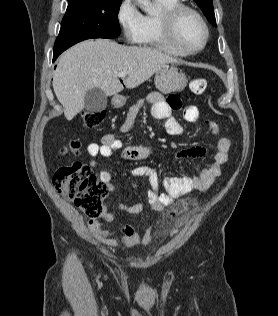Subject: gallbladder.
<instances>
[{
	"instance_id": "1",
	"label": "gallbladder",
	"mask_w": 278,
	"mask_h": 316,
	"mask_svg": "<svg viewBox=\"0 0 278 316\" xmlns=\"http://www.w3.org/2000/svg\"><path fill=\"white\" fill-rule=\"evenodd\" d=\"M107 107V96L98 87L87 91L84 97V109L89 112H100Z\"/></svg>"
}]
</instances>
